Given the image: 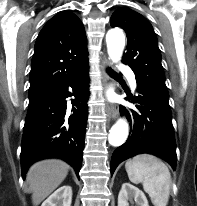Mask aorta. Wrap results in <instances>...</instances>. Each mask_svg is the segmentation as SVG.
Instances as JSON below:
<instances>
[{
  "mask_svg": "<svg viewBox=\"0 0 197 206\" xmlns=\"http://www.w3.org/2000/svg\"><path fill=\"white\" fill-rule=\"evenodd\" d=\"M107 50L112 61L118 62L121 59L125 37L120 29H112L106 35ZM128 136V123L124 119H119L110 129L108 141L112 146L122 145Z\"/></svg>",
  "mask_w": 197,
  "mask_h": 206,
  "instance_id": "762f6f07",
  "label": "aorta"
}]
</instances>
